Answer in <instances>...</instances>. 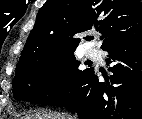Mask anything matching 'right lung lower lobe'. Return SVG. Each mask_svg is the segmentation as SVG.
Returning <instances> with one entry per match:
<instances>
[{
    "instance_id": "98d812e1",
    "label": "right lung lower lobe",
    "mask_w": 142,
    "mask_h": 119,
    "mask_svg": "<svg viewBox=\"0 0 142 119\" xmlns=\"http://www.w3.org/2000/svg\"><path fill=\"white\" fill-rule=\"evenodd\" d=\"M104 51L111 75L99 82L91 69L69 95L52 105L66 107L80 119H142V36Z\"/></svg>"
}]
</instances>
